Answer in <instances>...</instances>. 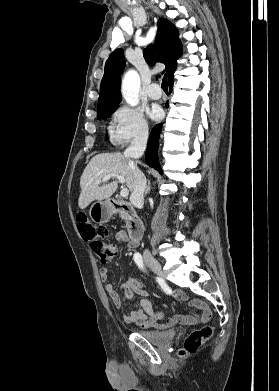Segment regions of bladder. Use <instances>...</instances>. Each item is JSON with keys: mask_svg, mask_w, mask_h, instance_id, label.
I'll return each instance as SVG.
<instances>
[{"mask_svg": "<svg viewBox=\"0 0 279 391\" xmlns=\"http://www.w3.org/2000/svg\"><path fill=\"white\" fill-rule=\"evenodd\" d=\"M138 334L149 341L151 344L163 347L173 342L177 332L176 330L167 331H154V330H142L138 331Z\"/></svg>", "mask_w": 279, "mask_h": 391, "instance_id": "obj_1", "label": "bladder"}]
</instances>
